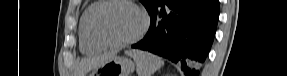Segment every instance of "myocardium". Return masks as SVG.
Instances as JSON below:
<instances>
[{"label":"myocardium","instance_id":"f54148a6","mask_svg":"<svg viewBox=\"0 0 287 76\" xmlns=\"http://www.w3.org/2000/svg\"><path fill=\"white\" fill-rule=\"evenodd\" d=\"M115 3L127 4L135 8L142 16V20H143L142 26L140 30L131 38L120 40V41H110V40H107L105 37H103L101 33L99 32L98 20H99L100 15L107 7ZM149 25H150V19H149L148 13L143 7H141L134 1L132 0H105V1H102L100 5L94 10L90 18L89 28H90L91 36L94 39V41L98 43L100 46H102L103 48H121V47L134 44L138 42L139 40H141L147 33L149 29Z\"/></svg>","mask_w":287,"mask_h":76}]
</instances>
